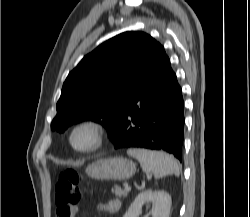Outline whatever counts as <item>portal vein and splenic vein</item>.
<instances>
[{"label": "portal vein and splenic vein", "instance_id": "1", "mask_svg": "<svg viewBox=\"0 0 250 217\" xmlns=\"http://www.w3.org/2000/svg\"><path fill=\"white\" fill-rule=\"evenodd\" d=\"M131 189V187L128 184H125V190L129 191Z\"/></svg>", "mask_w": 250, "mask_h": 217}]
</instances>
